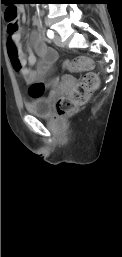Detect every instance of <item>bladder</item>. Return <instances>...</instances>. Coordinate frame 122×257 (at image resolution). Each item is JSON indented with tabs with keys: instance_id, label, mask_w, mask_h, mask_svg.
I'll return each mask as SVG.
<instances>
[{
	"instance_id": "1",
	"label": "bladder",
	"mask_w": 122,
	"mask_h": 257,
	"mask_svg": "<svg viewBox=\"0 0 122 257\" xmlns=\"http://www.w3.org/2000/svg\"><path fill=\"white\" fill-rule=\"evenodd\" d=\"M26 110L28 113L35 116H48L52 110V98L36 97L26 104Z\"/></svg>"
}]
</instances>
